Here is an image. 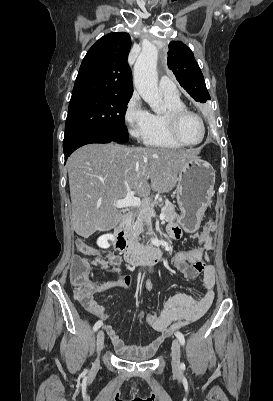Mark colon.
<instances>
[{
    "mask_svg": "<svg viewBox=\"0 0 273 401\" xmlns=\"http://www.w3.org/2000/svg\"><path fill=\"white\" fill-rule=\"evenodd\" d=\"M69 267L70 275L72 276L69 280V285L72 287L76 297H89L90 293L101 292V285L94 284V280L89 278L87 274V270L93 268V263L87 261L86 257H74ZM152 289L153 286L151 284L145 285L146 291H151Z\"/></svg>",
    "mask_w": 273,
    "mask_h": 401,
    "instance_id": "obj_1",
    "label": "colon"
}]
</instances>
